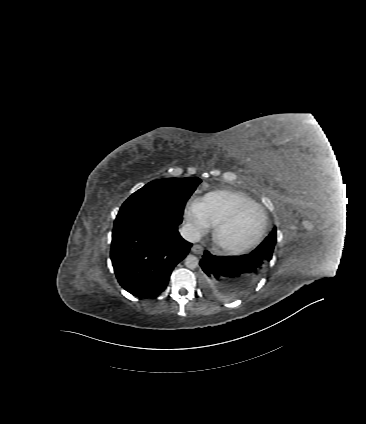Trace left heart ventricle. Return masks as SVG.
I'll list each match as a JSON object with an SVG mask.
<instances>
[{
    "mask_svg": "<svg viewBox=\"0 0 366 424\" xmlns=\"http://www.w3.org/2000/svg\"><path fill=\"white\" fill-rule=\"evenodd\" d=\"M263 225V217L257 208L244 210L221 234L223 242L232 245L244 244L254 239Z\"/></svg>",
    "mask_w": 366,
    "mask_h": 424,
    "instance_id": "left-heart-ventricle-1",
    "label": "left heart ventricle"
}]
</instances>
